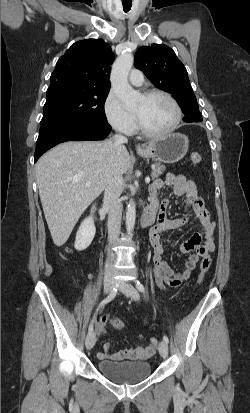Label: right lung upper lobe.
<instances>
[{"instance_id":"obj_1","label":"right lung upper lobe","mask_w":250,"mask_h":413,"mask_svg":"<svg viewBox=\"0 0 250 413\" xmlns=\"http://www.w3.org/2000/svg\"><path fill=\"white\" fill-rule=\"evenodd\" d=\"M113 60L110 45L102 39L78 41L59 58L48 90L63 85L110 90L109 74Z\"/></svg>"}]
</instances>
